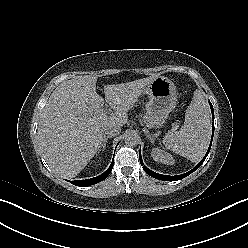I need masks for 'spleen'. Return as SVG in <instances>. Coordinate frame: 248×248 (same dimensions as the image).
<instances>
[{
  "mask_svg": "<svg viewBox=\"0 0 248 248\" xmlns=\"http://www.w3.org/2000/svg\"><path fill=\"white\" fill-rule=\"evenodd\" d=\"M211 136L209 107L199 90L186 110L185 121L179 131L163 138L165 147L176 154L198 162L206 153Z\"/></svg>",
  "mask_w": 248,
  "mask_h": 248,
  "instance_id": "obj_1",
  "label": "spleen"
}]
</instances>
